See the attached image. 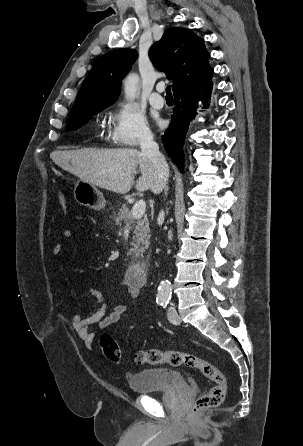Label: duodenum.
Returning a JSON list of instances; mask_svg holds the SVG:
<instances>
[{
	"mask_svg": "<svg viewBox=\"0 0 303 446\" xmlns=\"http://www.w3.org/2000/svg\"><path fill=\"white\" fill-rule=\"evenodd\" d=\"M127 282L134 286H142L146 279V263L144 260L133 262L126 273Z\"/></svg>",
	"mask_w": 303,
	"mask_h": 446,
	"instance_id": "1",
	"label": "duodenum"
}]
</instances>
